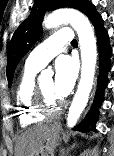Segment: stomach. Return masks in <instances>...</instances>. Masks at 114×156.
Returning <instances> with one entry per match:
<instances>
[{"label":"stomach","instance_id":"1","mask_svg":"<svg viewBox=\"0 0 114 156\" xmlns=\"http://www.w3.org/2000/svg\"><path fill=\"white\" fill-rule=\"evenodd\" d=\"M60 127L52 125L48 132L46 144L41 147L35 156H54V148L57 146L59 139Z\"/></svg>","mask_w":114,"mask_h":156}]
</instances>
